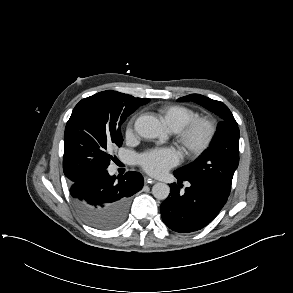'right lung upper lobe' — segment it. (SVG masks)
<instances>
[{
  "label": "right lung upper lobe",
  "instance_id": "cb5924a9",
  "mask_svg": "<svg viewBox=\"0 0 293 293\" xmlns=\"http://www.w3.org/2000/svg\"><path fill=\"white\" fill-rule=\"evenodd\" d=\"M100 93L108 95V96H111V97H114V98H117V99L128 101V102H130V103H132L134 105H138V107L140 105L146 103V99L135 98V97H133L131 95L123 94V93H120V92H117V91L108 90V91H103V92H100Z\"/></svg>",
  "mask_w": 293,
  "mask_h": 293
}]
</instances>
